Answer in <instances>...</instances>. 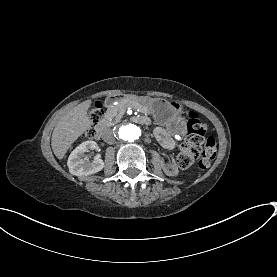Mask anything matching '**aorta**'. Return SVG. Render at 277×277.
<instances>
[{"mask_svg":"<svg viewBox=\"0 0 277 277\" xmlns=\"http://www.w3.org/2000/svg\"><path fill=\"white\" fill-rule=\"evenodd\" d=\"M143 133V129L139 124L125 120L118 123L115 127V135L119 141L134 142L138 140Z\"/></svg>","mask_w":277,"mask_h":277,"instance_id":"762f6f07","label":"aorta"}]
</instances>
